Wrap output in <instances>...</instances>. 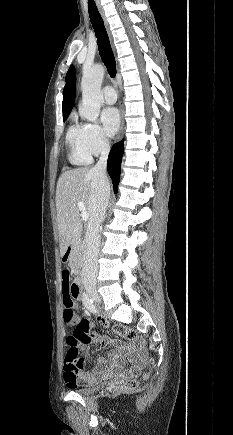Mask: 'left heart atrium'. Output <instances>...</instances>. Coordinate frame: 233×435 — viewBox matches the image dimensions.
<instances>
[{
  "instance_id": "obj_1",
  "label": "left heart atrium",
  "mask_w": 233,
  "mask_h": 435,
  "mask_svg": "<svg viewBox=\"0 0 233 435\" xmlns=\"http://www.w3.org/2000/svg\"><path fill=\"white\" fill-rule=\"evenodd\" d=\"M100 119L105 133L114 136L120 126V115L116 108L108 107L101 111Z\"/></svg>"
}]
</instances>
